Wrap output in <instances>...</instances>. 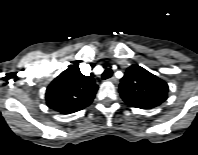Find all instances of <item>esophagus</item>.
<instances>
[{
  "instance_id": "34e87169",
  "label": "esophagus",
  "mask_w": 198,
  "mask_h": 155,
  "mask_svg": "<svg viewBox=\"0 0 198 155\" xmlns=\"http://www.w3.org/2000/svg\"><path fill=\"white\" fill-rule=\"evenodd\" d=\"M109 81H111V82H113V83H116V78H115V77H111V78L109 79Z\"/></svg>"
}]
</instances>
